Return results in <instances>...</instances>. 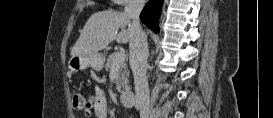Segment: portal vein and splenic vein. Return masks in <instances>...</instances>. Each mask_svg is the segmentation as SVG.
Returning <instances> with one entry per match:
<instances>
[{"label": "portal vein and splenic vein", "instance_id": "portal-vein-and-splenic-vein-1", "mask_svg": "<svg viewBox=\"0 0 273 118\" xmlns=\"http://www.w3.org/2000/svg\"><path fill=\"white\" fill-rule=\"evenodd\" d=\"M117 57L119 58V59H121V60H125V53L124 52H118V55H117Z\"/></svg>", "mask_w": 273, "mask_h": 118}]
</instances>
